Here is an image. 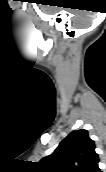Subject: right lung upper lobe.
Here are the masks:
<instances>
[{"instance_id":"obj_1","label":"right lung upper lobe","mask_w":106,"mask_h":172,"mask_svg":"<svg viewBox=\"0 0 106 172\" xmlns=\"http://www.w3.org/2000/svg\"><path fill=\"white\" fill-rule=\"evenodd\" d=\"M98 163L94 141L89 138L87 130L80 129L64 138L39 166L43 172H102Z\"/></svg>"}]
</instances>
